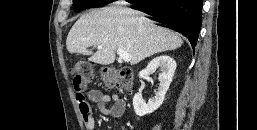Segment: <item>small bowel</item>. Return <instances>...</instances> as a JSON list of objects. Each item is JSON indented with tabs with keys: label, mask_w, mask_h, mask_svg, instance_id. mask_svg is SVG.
Returning <instances> with one entry per match:
<instances>
[{
	"label": "small bowel",
	"mask_w": 257,
	"mask_h": 130,
	"mask_svg": "<svg viewBox=\"0 0 257 130\" xmlns=\"http://www.w3.org/2000/svg\"><path fill=\"white\" fill-rule=\"evenodd\" d=\"M76 98L80 114L87 130L95 129V118L92 114L89 102L97 104L100 113L104 116L119 118L126 111V102L123 99L115 94H104L100 90H89L86 95L83 94V99H80L78 96ZM121 130L126 129L122 128Z\"/></svg>",
	"instance_id": "obj_1"
}]
</instances>
